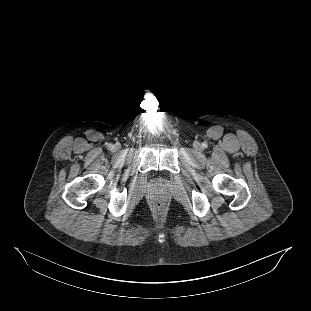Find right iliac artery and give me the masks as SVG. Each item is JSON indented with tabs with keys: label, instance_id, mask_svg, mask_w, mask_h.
<instances>
[{
	"label": "right iliac artery",
	"instance_id": "1",
	"mask_svg": "<svg viewBox=\"0 0 311 311\" xmlns=\"http://www.w3.org/2000/svg\"><path fill=\"white\" fill-rule=\"evenodd\" d=\"M108 147H109V148H112V147H113V145H112V144H109V145H108Z\"/></svg>",
	"mask_w": 311,
	"mask_h": 311
}]
</instances>
